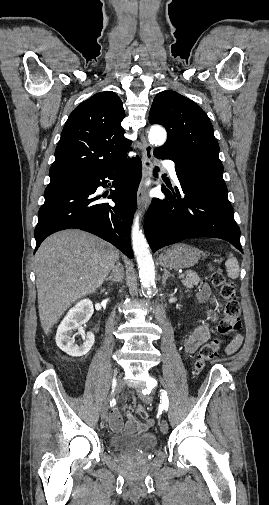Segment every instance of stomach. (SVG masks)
I'll use <instances>...</instances> for the list:
<instances>
[{
	"label": "stomach",
	"instance_id": "obj_1",
	"mask_svg": "<svg viewBox=\"0 0 269 505\" xmlns=\"http://www.w3.org/2000/svg\"><path fill=\"white\" fill-rule=\"evenodd\" d=\"M202 255L198 248L179 243L164 250L159 255V263L166 268H189L198 263Z\"/></svg>",
	"mask_w": 269,
	"mask_h": 505
}]
</instances>
